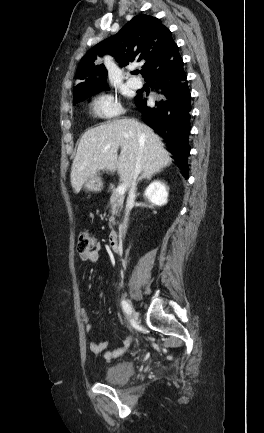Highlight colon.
<instances>
[{"mask_svg": "<svg viewBox=\"0 0 264 433\" xmlns=\"http://www.w3.org/2000/svg\"><path fill=\"white\" fill-rule=\"evenodd\" d=\"M96 245V239L89 231H82L79 233L76 246L78 253H89L94 250Z\"/></svg>", "mask_w": 264, "mask_h": 433, "instance_id": "obj_1", "label": "colon"}]
</instances>
